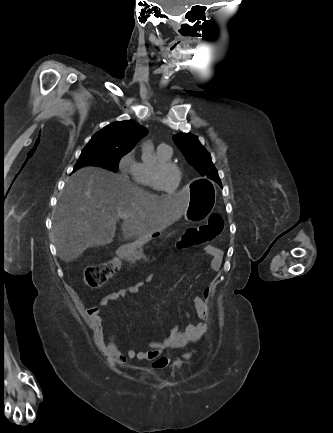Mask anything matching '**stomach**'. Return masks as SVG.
Returning a JSON list of instances; mask_svg holds the SVG:
<instances>
[{
    "label": "stomach",
    "mask_w": 333,
    "mask_h": 433,
    "mask_svg": "<svg viewBox=\"0 0 333 433\" xmlns=\"http://www.w3.org/2000/svg\"><path fill=\"white\" fill-rule=\"evenodd\" d=\"M191 199L186 219H190V223L198 225L202 219H205L215 207L216 189L214 183L206 178H197L194 180L191 188ZM160 232L149 235L158 236Z\"/></svg>",
    "instance_id": "0dacf381"
}]
</instances>
